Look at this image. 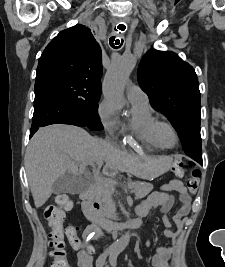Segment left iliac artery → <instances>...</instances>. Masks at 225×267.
<instances>
[{
	"mask_svg": "<svg viewBox=\"0 0 225 267\" xmlns=\"http://www.w3.org/2000/svg\"><path fill=\"white\" fill-rule=\"evenodd\" d=\"M119 255V252L118 251H113L110 255V258H109V261H110V264L113 266V267H116V264H117V256Z\"/></svg>",
	"mask_w": 225,
	"mask_h": 267,
	"instance_id": "obj_1",
	"label": "left iliac artery"
}]
</instances>
